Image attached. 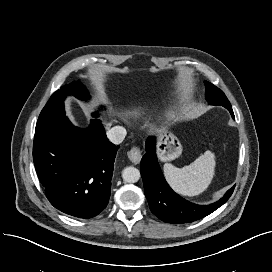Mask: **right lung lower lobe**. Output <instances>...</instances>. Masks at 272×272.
<instances>
[{"mask_svg": "<svg viewBox=\"0 0 272 272\" xmlns=\"http://www.w3.org/2000/svg\"><path fill=\"white\" fill-rule=\"evenodd\" d=\"M118 149L98 119L87 129L73 126L67 117L36 125L33 161L51 204L78 218L103 211Z\"/></svg>", "mask_w": 272, "mask_h": 272, "instance_id": "right-lung-lower-lobe-1", "label": "right lung lower lobe"}]
</instances>
